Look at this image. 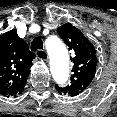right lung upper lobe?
<instances>
[{"label":"right lung upper lobe","mask_w":117,"mask_h":117,"mask_svg":"<svg viewBox=\"0 0 117 117\" xmlns=\"http://www.w3.org/2000/svg\"><path fill=\"white\" fill-rule=\"evenodd\" d=\"M35 54L13 29L0 35V94H20L28 78Z\"/></svg>","instance_id":"obj_1"}]
</instances>
